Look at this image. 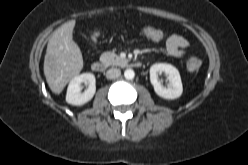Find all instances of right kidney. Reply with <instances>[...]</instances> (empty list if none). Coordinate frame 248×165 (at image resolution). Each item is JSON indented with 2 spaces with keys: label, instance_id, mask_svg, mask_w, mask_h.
Instances as JSON below:
<instances>
[{
  "label": "right kidney",
  "instance_id": "ca27d5eb",
  "mask_svg": "<svg viewBox=\"0 0 248 165\" xmlns=\"http://www.w3.org/2000/svg\"><path fill=\"white\" fill-rule=\"evenodd\" d=\"M82 83H87L88 88L81 92ZM96 92L95 76L92 73H83L75 76L69 83L66 102L71 105L81 106L90 101Z\"/></svg>",
  "mask_w": 248,
  "mask_h": 165
}]
</instances>
